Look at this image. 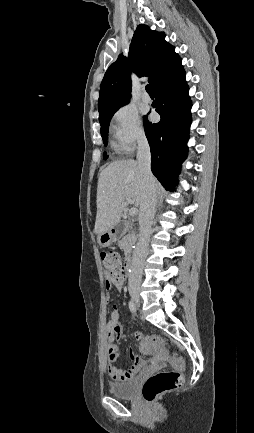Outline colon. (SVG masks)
I'll return each mask as SVG.
<instances>
[{"label":"colon","mask_w":254,"mask_h":433,"mask_svg":"<svg viewBox=\"0 0 254 433\" xmlns=\"http://www.w3.org/2000/svg\"><path fill=\"white\" fill-rule=\"evenodd\" d=\"M101 260L106 271L108 279L120 280L125 278V265L121 256L116 251H107L101 253ZM144 345H156L159 339L149 337L144 340ZM182 363L179 360L174 361V367L149 377L143 385L142 396L145 401L153 402L159 396L172 391L182 384V374L180 369Z\"/></svg>","instance_id":"1"}]
</instances>
